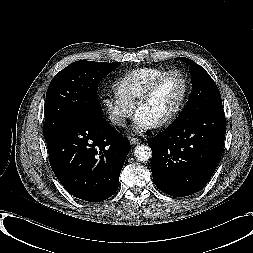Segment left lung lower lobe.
<instances>
[{"label": "left lung lower lobe", "instance_id": "left-lung-lower-lobe-1", "mask_svg": "<svg viewBox=\"0 0 253 253\" xmlns=\"http://www.w3.org/2000/svg\"><path fill=\"white\" fill-rule=\"evenodd\" d=\"M225 133L226 119L220 105L177 121L150 138L155 185L175 197L200 191L219 163Z\"/></svg>", "mask_w": 253, "mask_h": 253}]
</instances>
